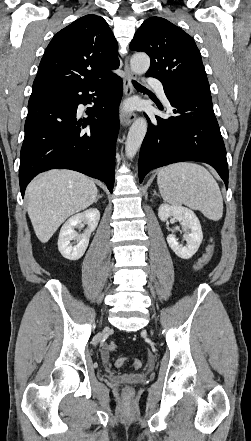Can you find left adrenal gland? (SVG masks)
<instances>
[{
    "label": "left adrenal gland",
    "mask_w": 251,
    "mask_h": 441,
    "mask_svg": "<svg viewBox=\"0 0 251 441\" xmlns=\"http://www.w3.org/2000/svg\"><path fill=\"white\" fill-rule=\"evenodd\" d=\"M154 195H157V196H159V195H158V194L156 193V191H155V190H154V194H153V196H154Z\"/></svg>",
    "instance_id": "1"
}]
</instances>
